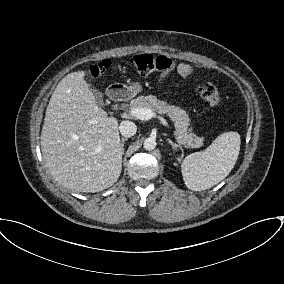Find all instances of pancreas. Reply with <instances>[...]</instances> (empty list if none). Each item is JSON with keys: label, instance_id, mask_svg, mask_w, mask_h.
<instances>
[{"label": "pancreas", "instance_id": "obj_1", "mask_svg": "<svg viewBox=\"0 0 284 284\" xmlns=\"http://www.w3.org/2000/svg\"><path fill=\"white\" fill-rule=\"evenodd\" d=\"M130 107L146 108L159 114H167L174 122L177 141L185 148H200L203 145V138L196 136L188 129L190 119L183 109L169 105L166 101H161L154 95L139 96L131 101Z\"/></svg>", "mask_w": 284, "mask_h": 284}]
</instances>
